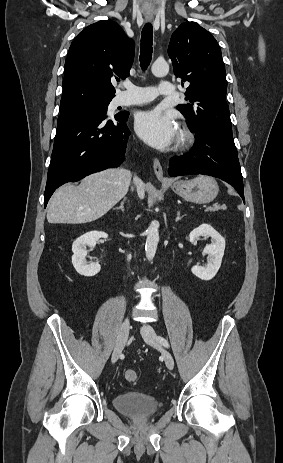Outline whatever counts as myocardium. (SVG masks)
<instances>
[{
  "label": "myocardium",
  "instance_id": "myocardium-1",
  "mask_svg": "<svg viewBox=\"0 0 283 463\" xmlns=\"http://www.w3.org/2000/svg\"><path fill=\"white\" fill-rule=\"evenodd\" d=\"M193 134L191 131L186 127H181L178 131V138H177V148L183 149L190 146L193 143Z\"/></svg>",
  "mask_w": 283,
  "mask_h": 463
}]
</instances>
